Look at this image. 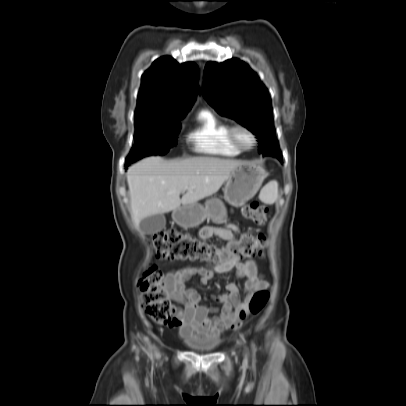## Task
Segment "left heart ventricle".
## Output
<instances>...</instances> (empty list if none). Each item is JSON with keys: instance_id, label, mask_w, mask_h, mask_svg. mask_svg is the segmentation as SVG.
Returning a JSON list of instances; mask_svg holds the SVG:
<instances>
[{"instance_id": "left-heart-ventricle-1", "label": "left heart ventricle", "mask_w": 406, "mask_h": 406, "mask_svg": "<svg viewBox=\"0 0 406 406\" xmlns=\"http://www.w3.org/2000/svg\"><path fill=\"white\" fill-rule=\"evenodd\" d=\"M238 138L240 142L246 146H249L252 142L251 137L245 131H238Z\"/></svg>"}]
</instances>
